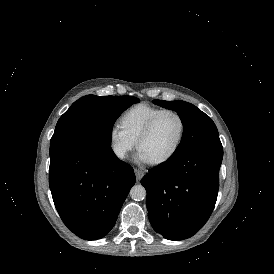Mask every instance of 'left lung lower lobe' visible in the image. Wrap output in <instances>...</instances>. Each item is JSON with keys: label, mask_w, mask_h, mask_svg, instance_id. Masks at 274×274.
I'll use <instances>...</instances> for the list:
<instances>
[{"label": "left lung lower lobe", "mask_w": 274, "mask_h": 274, "mask_svg": "<svg viewBox=\"0 0 274 274\" xmlns=\"http://www.w3.org/2000/svg\"><path fill=\"white\" fill-rule=\"evenodd\" d=\"M221 144L200 146L152 168L141 184L153 229L169 240L193 236L209 219L218 194Z\"/></svg>", "instance_id": "1"}]
</instances>
